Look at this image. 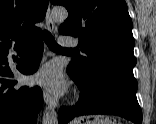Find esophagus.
Here are the masks:
<instances>
[{
	"instance_id": "esophagus-1",
	"label": "esophagus",
	"mask_w": 156,
	"mask_h": 124,
	"mask_svg": "<svg viewBox=\"0 0 156 124\" xmlns=\"http://www.w3.org/2000/svg\"><path fill=\"white\" fill-rule=\"evenodd\" d=\"M45 22H46L47 29L50 32H53L55 29V24H54V21H53L52 16H51L50 4H49L47 12H46ZM43 99L47 105H50L53 108L57 107V102L46 91H44V93H43Z\"/></svg>"
}]
</instances>
